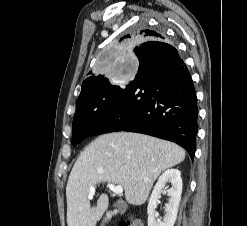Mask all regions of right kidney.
<instances>
[{"label": "right kidney", "instance_id": "right-kidney-1", "mask_svg": "<svg viewBox=\"0 0 247 226\" xmlns=\"http://www.w3.org/2000/svg\"><path fill=\"white\" fill-rule=\"evenodd\" d=\"M166 183H171V188L168 191V196L170 198L169 203L165 207V216L161 219L159 218V214L156 212V207ZM181 194L182 178L180 171L177 169H168L162 173L149 199L147 208L148 226H174L181 200Z\"/></svg>", "mask_w": 247, "mask_h": 226}]
</instances>
